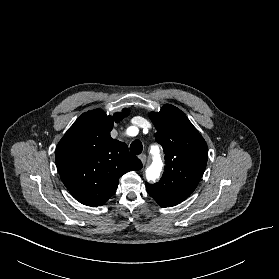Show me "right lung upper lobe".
I'll return each instance as SVG.
<instances>
[{
	"mask_svg": "<svg viewBox=\"0 0 279 279\" xmlns=\"http://www.w3.org/2000/svg\"><path fill=\"white\" fill-rule=\"evenodd\" d=\"M128 109L114 118L96 109L82 114L56 147V166L70 194L80 203L97 207L115 192L119 178L140 170L141 161L125 143L111 138L113 122H120Z\"/></svg>",
	"mask_w": 279,
	"mask_h": 279,
	"instance_id": "1",
	"label": "right lung upper lobe"
}]
</instances>
